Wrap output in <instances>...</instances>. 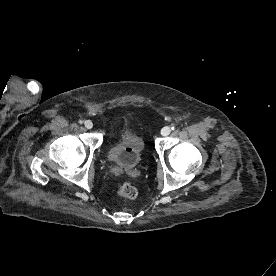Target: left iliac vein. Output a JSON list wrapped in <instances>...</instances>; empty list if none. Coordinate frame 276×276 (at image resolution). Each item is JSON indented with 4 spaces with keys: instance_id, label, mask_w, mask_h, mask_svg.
Returning a JSON list of instances; mask_svg holds the SVG:
<instances>
[{
    "instance_id": "1",
    "label": "left iliac vein",
    "mask_w": 276,
    "mask_h": 276,
    "mask_svg": "<svg viewBox=\"0 0 276 276\" xmlns=\"http://www.w3.org/2000/svg\"><path fill=\"white\" fill-rule=\"evenodd\" d=\"M170 132H171V128H170L169 126H165V127H163L162 130H161V134H162L163 136L169 135Z\"/></svg>"
}]
</instances>
